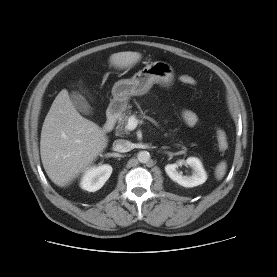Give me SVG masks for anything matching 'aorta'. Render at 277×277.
<instances>
[{
	"mask_svg": "<svg viewBox=\"0 0 277 277\" xmlns=\"http://www.w3.org/2000/svg\"><path fill=\"white\" fill-rule=\"evenodd\" d=\"M139 162L146 163L150 159V154L147 151H140L137 155Z\"/></svg>",
	"mask_w": 277,
	"mask_h": 277,
	"instance_id": "aorta-1",
	"label": "aorta"
}]
</instances>
